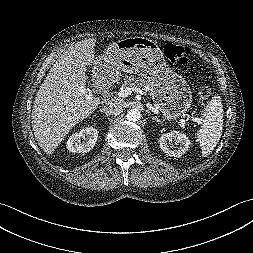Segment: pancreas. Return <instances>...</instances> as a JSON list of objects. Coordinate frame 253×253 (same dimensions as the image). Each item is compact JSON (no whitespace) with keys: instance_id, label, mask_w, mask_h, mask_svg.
Instances as JSON below:
<instances>
[{"instance_id":"obj_1","label":"pancreas","mask_w":253,"mask_h":253,"mask_svg":"<svg viewBox=\"0 0 253 253\" xmlns=\"http://www.w3.org/2000/svg\"><path fill=\"white\" fill-rule=\"evenodd\" d=\"M122 87L123 88L142 87V90L144 91V93H146V91L150 90V81L145 80L141 77L130 75V76H126L124 78V81L122 83Z\"/></svg>"}]
</instances>
